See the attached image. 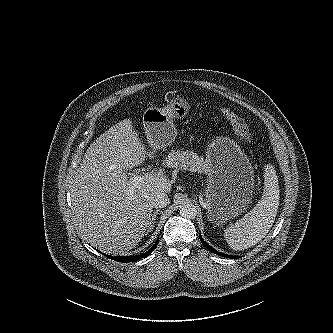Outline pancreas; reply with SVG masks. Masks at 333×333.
I'll list each match as a JSON object with an SVG mask.
<instances>
[{
	"label": "pancreas",
	"instance_id": "obj_1",
	"mask_svg": "<svg viewBox=\"0 0 333 333\" xmlns=\"http://www.w3.org/2000/svg\"><path fill=\"white\" fill-rule=\"evenodd\" d=\"M168 167L178 168L180 170H189L199 173L208 171V164L202 156L193 151L172 150L165 159Z\"/></svg>",
	"mask_w": 333,
	"mask_h": 333
}]
</instances>
